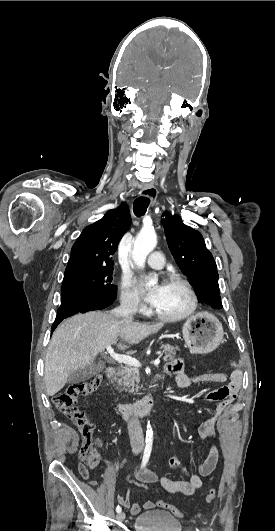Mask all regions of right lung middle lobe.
Returning <instances> with one entry per match:
<instances>
[{
	"label": "right lung middle lobe",
	"mask_w": 275,
	"mask_h": 531,
	"mask_svg": "<svg viewBox=\"0 0 275 531\" xmlns=\"http://www.w3.org/2000/svg\"><path fill=\"white\" fill-rule=\"evenodd\" d=\"M112 268H88L65 272L61 296L78 294L112 304L117 288L112 284Z\"/></svg>",
	"instance_id": "dd1d6c3e"
}]
</instances>
